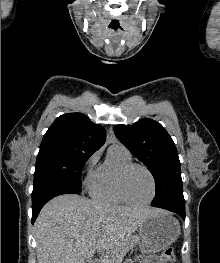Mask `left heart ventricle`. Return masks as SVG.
<instances>
[{
    "mask_svg": "<svg viewBox=\"0 0 220 263\" xmlns=\"http://www.w3.org/2000/svg\"><path fill=\"white\" fill-rule=\"evenodd\" d=\"M126 191L137 202L146 201L152 194V182L141 168L133 169L126 178Z\"/></svg>",
    "mask_w": 220,
    "mask_h": 263,
    "instance_id": "obj_1",
    "label": "left heart ventricle"
}]
</instances>
